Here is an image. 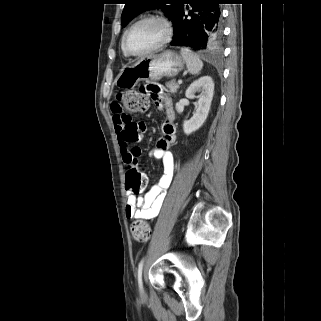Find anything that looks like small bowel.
Listing matches in <instances>:
<instances>
[{
    "mask_svg": "<svg viewBox=\"0 0 321 321\" xmlns=\"http://www.w3.org/2000/svg\"><path fill=\"white\" fill-rule=\"evenodd\" d=\"M136 91L142 93L143 98L152 97L156 108L164 109L166 115L162 124V135L150 153L163 164V173L159 181L143 196H136L130 190L127 192L125 209L127 219L151 220L159 214L174 174V159L170 148L176 140L175 111L172 99L163 92L162 86H158L157 82H147L146 85L140 83ZM111 111L122 159L128 170L134 163L138 164L141 158V150L133 144L143 138L146 125L124 116L119 111L117 103H112Z\"/></svg>",
    "mask_w": 321,
    "mask_h": 321,
    "instance_id": "c3829d8e",
    "label": "small bowel"
}]
</instances>
